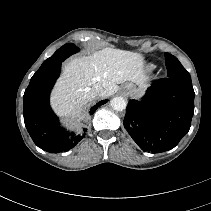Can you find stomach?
<instances>
[{
  "label": "stomach",
  "instance_id": "stomach-1",
  "mask_svg": "<svg viewBox=\"0 0 211 211\" xmlns=\"http://www.w3.org/2000/svg\"><path fill=\"white\" fill-rule=\"evenodd\" d=\"M122 92L126 96H130V97H133V98H137L141 94V90L139 88H136L132 84H126L125 86H123L122 87Z\"/></svg>",
  "mask_w": 211,
  "mask_h": 211
}]
</instances>
